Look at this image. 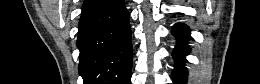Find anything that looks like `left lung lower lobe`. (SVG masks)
<instances>
[{
  "mask_svg": "<svg viewBox=\"0 0 260 84\" xmlns=\"http://www.w3.org/2000/svg\"><path fill=\"white\" fill-rule=\"evenodd\" d=\"M172 34L178 39V44L173 51L176 65L172 74L175 84H185L187 82V69L184 67V57L188 55L189 49L186 40L190 36V30L186 25L176 24L172 28Z\"/></svg>",
  "mask_w": 260,
  "mask_h": 84,
  "instance_id": "left-lung-lower-lobe-1",
  "label": "left lung lower lobe"
}]
</instances>
